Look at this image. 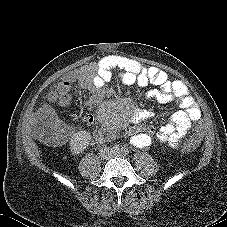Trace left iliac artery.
Listing matches in <instances>:
<instances>
[{
    "instance_id": "left-iliac-artery-1",
    "label": "left iliac artery",
    "mask_w": 227,
    "mask_h": 227,
    "mask_svg": "<svg viewBox=\"0 0 227 227\" xmlns=\"http://www.w3.org/2000/svg\"><path fill=\"white\" fill-rule=\"evenodd\" d=\"M121 151H122L123 153H125V154L129 153V150H128V148H126V147H122V148H121Z\"/></svg>"
}]
</instances>
